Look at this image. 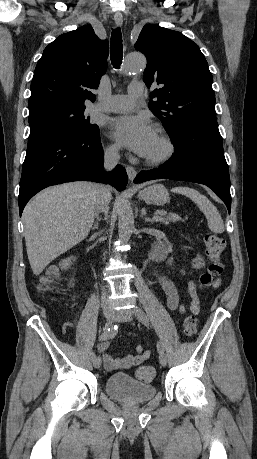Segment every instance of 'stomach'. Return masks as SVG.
<instances>
[{"label": "stomach", "instance_id": "stomach-1", "mask_svg": "<svg viewBox=\"0 0 257 459\" xmlns=\"http://www.w3.org/2000/svg\"><path fill=\"white\" fill-rule=\"evenodd\" d=\"M139 198L148 204L163 205L167 202L169 194L162 184H153L140 191Z\"/></svg>", "mask_w": 257, "mask_h": 459}]
</instances>
